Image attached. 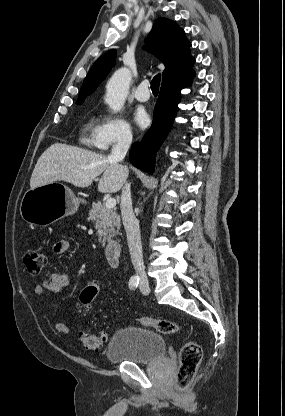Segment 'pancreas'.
<instances>
[{"label":"pancreas","mask_w":285,"mask_h":416,"mask_svg":"<svg viewBox=\"0 0 285 416\" xmlns=\"http://www.w3.org/2000/svg\"><path fill=\"white\" fill-rule=\"evenodd\" d=\"M89 220L95 222L100 244H105L106 240L114 238L120 230V216L113 208H106L101 202H93L89 212Z\"/></svg>","instance_id":"1"}]
</instances>
